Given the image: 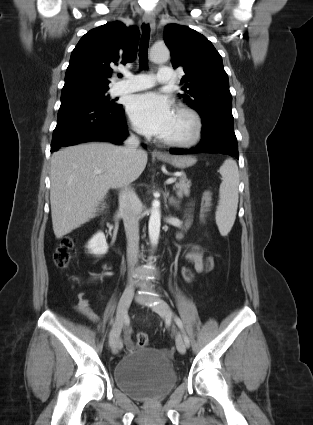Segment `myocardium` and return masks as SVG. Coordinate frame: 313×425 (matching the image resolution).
Returning a JSON list of instances; mask_svg holds the SVG:
<instances>
[{"label": "myocardium", "mask_w": 313, "mask_h": 425, "mask_svg": "<svg viewBox=\"0 0 313 425\" xmlns=\"http://www.w3.org/2000/svg\"><path fill=\"white\" fill-rule=\"evenodd\" d=\"M175 113L187 117L192 124V130L186 137L163 138L162 142L166 145L175 147H188L196 144L201 139L203 131V121L199 113L187 106L177 107Z\"/></svg>", "instance_id": "obj_1"}]
</instances>
